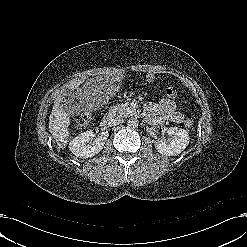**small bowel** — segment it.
<instances>
[{"label": "small bowel", "mask_w": 247, "mask_h": 247, "mask_svg": "<svg viewBox=\"0 0 247 247\" xmlns=\"http://www.w3.org/2000/svg\"><path fill=\"white\" fill-rule=\"evenodd\" d=\"M147 79L149 81L154 80L153 74H148ZM146 119L149 123L159 126L162 125L166 120L181 123L183 118L180 112L176 111V104L173 100L162 99L159 102L146 104Z\"/></svg>", "instance_id": "1"}]
</instances>
